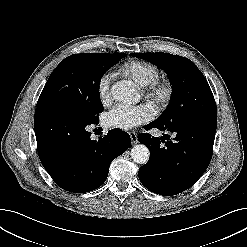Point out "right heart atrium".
Here are the masks:
<instances>
[{"label":"right heart atrium","mask_w":247,"mask_h":247,"mask_svg":"<svg viewBox=\"0 0 247 247\" xmlns=\"http://www.w3.org/2000/svg\"><path fill=\"white\" fill-rule=\"evenodd\" d=\"M112 75L110 73H105L97 81L96 91L99 100L102 104L107 105L111 101V83Z\"/></svg>","instance_id":"d8ad5b80"}]
</instances>
